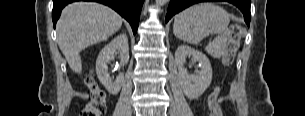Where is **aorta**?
Masks as SVG:
<instances>
[{"label": "aorta", "mask_w": 305, "mask_h": 116, "mask_svg": "<svg viewBox=\"0 0 305 116\" xmlns=\"http://www.w3.org/2000/svg\"><path fill=\"white\" fill-rule=\"evenodd\" d=\"M168 0H156L157 6H163L167 3Z\"/></svg>", "instance_id": "1"}]
</instances>
